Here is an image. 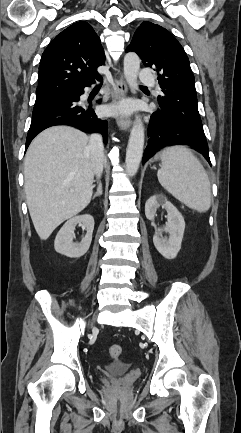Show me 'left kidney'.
Segmentation results:
<instances>
[{
    "mask_svg": "<svg viewBox=\"0 0 241 433\" xmlns=\"http://www.w3.org/2000/svg\"><path fill=\"white\" fill-rule=\"evenodd\" d=\"M167 211L168 222L164 228H159L153 236V243L158 252L166 259L176 258L181 249V243L185 230V221L177 208L162 195L150 197L145 204V215L148 220H154L156 210L159 207ZM169 234V238H163L162 232Z\"/></svg>",
    "mask_w": 241,
    "mask_h": 433,
    "instance_id": "obj_1",
    "label": "left kidney"
}]
</instances>
